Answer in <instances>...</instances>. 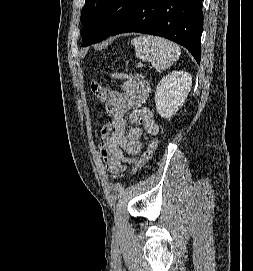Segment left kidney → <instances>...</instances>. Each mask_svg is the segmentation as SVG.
I'll return each mask as SVG.
<instances>
[{
  "label": "left kidney",
  "instance_id": "1",
  "mask_svg": "<svg viewBox=\"0 0 253 271\" xmlns=\"http://www.w3.org/2000/svg\"><path fill=\"white\" fill-rule=\"evenodd\" d=\"M192 85V76L185 71H173L163 77L155 92L159 115L171 118L183 106Z\"/></svg>",
  "mask_w": 253,
  "mask_h": 271
}]
</instances>
